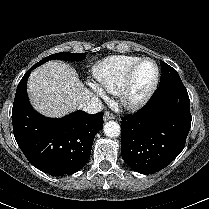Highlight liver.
Wrapping results in <instances>:
<instances>
[{
  "label": "liver",
  "instance_id": "6515ba94",
  "mask_svg": "<svg viewBox=\"0 0 209 209\" xmlns=\"http://www.w3.org/2000/svg\"><path fill=\"white\" fill-rule=\"evenodd\" d=\"M31 104L50 118L63 117L93 93L84 87L75 69L61 61H49L32 71L28 84Z\"/></svg>",
  "mask_w": 209,
  "mask_h": 209
}]
</instances>
